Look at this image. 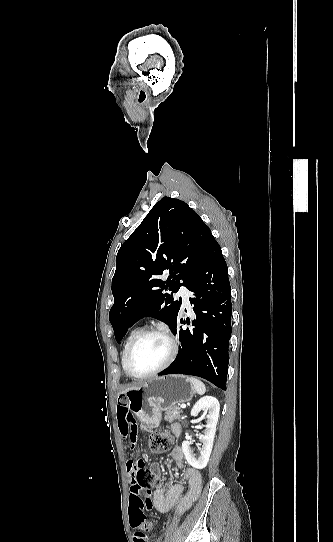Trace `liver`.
I'll use <instances>...</instances> for the list:
<instances>
[{"label": "liver", "instance_id": "1", "mask_svg": "<svg viewBox=\"0 0 333 542\" xmlns=\"http://www.w3.org/2000/svg\"><path fill=\"white\" fill-rule=\"evenodd\" d=\"M130 390H138V388H136V386H132V388H126L124 392H119L118 396H120V394H126V392H130Z\"/></svg>", "mask_w": 333, "mask_h": 542}]
</instances>
